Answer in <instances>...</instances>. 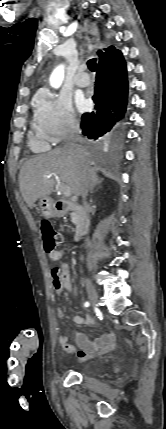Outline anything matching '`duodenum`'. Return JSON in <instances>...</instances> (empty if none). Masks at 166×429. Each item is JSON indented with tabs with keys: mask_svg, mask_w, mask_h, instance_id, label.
Returning a JSON list of instances; mask_svg holds the SVG:
<instances>
[{
	"mask_svg": "<svg viewBox=\"0 0 166 429\" xmlns=\"http://www.w3.org/2000/svg\"><path fill=\"white\" fill-rule=\"evenodd\" d=\"M55 211L59 214L73 212L75 214V239L78 240L89 231L91 218L85 207L82 205L67 201L57 200L54 204Z\"/></svg>",
	"mask_w": 166,
	"mask_h": 429,
	"instance_id": "410a0bca",
	"label": "duodenum"
}]
</instances>
